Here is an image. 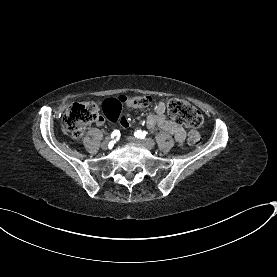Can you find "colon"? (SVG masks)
Listing matches in <instances>:
<instances>
[{
	"instance_id": "5ec220e1",
	"label": "colon",
	"mask_w": 277,
	"mask_h": 277,
	"mask_svg": "<svg viewBox=\"0 0 277 277\" xmlns=\"http://www.w3.org/2000/svg\"><path fill=\"white\" fill-rule=\"evenodd\" d=\"M121 105L125 109L145 108L152 104L149 96H120ZM101 104L97 100H87L84 104L73 103L62 116V125L66 132L74 140L82 138L84 129L87 125L96 120H103ZM167 112L178 123L190 129L187 135V142L190 146L196 147L201 143V134L197 130L203 122L202 114L189 103L172 98L167 103Z\"/></svg>"
}]
</instances>
